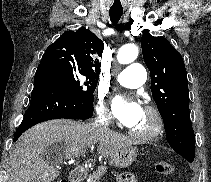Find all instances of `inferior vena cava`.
I'll use <instances>...</instances> for the list:
<instances>
[{"label":"inferior vena cava","mask_w":211,"mask_h":182,"mask_svg":"<svg viewBox=\"0 0 211 182\" xmlns=\"http://www.w3.org/2000/svg\"><path fill=\"white\" fill-rule=\"evenodd\" d=\"M93 125L95 127H100L101 131H106V128L108 126V119L107 118H102V119L96 120Z\"/></svg>","instance_id":"obj_1"}]
</instances>
